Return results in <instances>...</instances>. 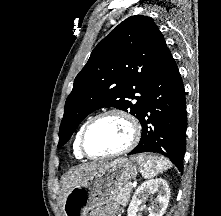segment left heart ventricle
I'll return each mask as SVG.
<instances>
[{
  "label": "left heart ventricle",
  "mask_w": 221,
  "mask_h": 216,
  "mask_svg": "<svg viewBox=\"0 0 221 216\" xmlns=\"http://www.w3.org/2000/svg\"><path fill=\"white\" fill-rule=\"evenodd\" d=\"M130 139V127L117 116H108L94 123L85 137V146L92 154L118 151Z\"/></svg>",
  "instance_id": "left-heart-ventricle-1"
}]
</instances>
